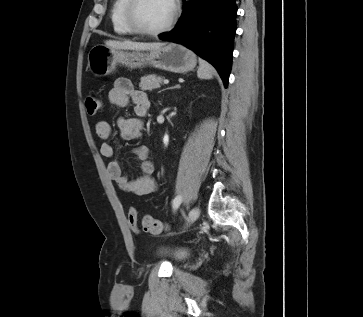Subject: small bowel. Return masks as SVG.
Returning a JSON list of instances; mask_svg holds the SVG:
<instances>
[{
  "label": "small bowel",
  "instance_id": "small-bowel-1",
  "mask_svg": "<svg viewBox=\"0 0 363 317\" xmlns=\"http://www.w3.org/2000/svg\"><path fill=\"white\" fill-rule=\"evenodd\" d=\"M109 102L117 107H125L129 102L135 105L136 117H124L118 121L119 136L122 140H134L141 136L144 117L149 109L150 102L146 94L136 90L129 79L119 78L114 82L108 93ZM97 135L106 140L101 145V154L110 158L107 173L111 180L115 181L120 189L132 193L135 196H145L158 189L157 182L153 178L154 163L150 158V150L145 145L136 146L133 154L139 162L140 173L130 179L123 171L122 164L116 158V147L107 140L114 136L111 125L106 121L96 123Z\"/></svg>",
  "mask_w": 363,
  "mask_h": 317
}]
</instances>
